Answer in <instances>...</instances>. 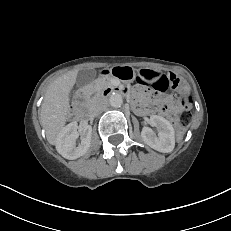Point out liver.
Segmentation results:
<instances>
[{
    "instance_id": "liver-1",
    "label": "liver",
    "mask_w": 231,
    "mask_h": 231,
    "mask_svg": "<svg viewBox=\"0 0 231 231\" xmlns=\"http://www.w3.org/2000/svg\"><path fill=\"white\" fill-rule=\"evenodd\" d=\"M78 71L72 70L58 77L46 90L40 107V123L47 141L56 145L58 134L64 128L70 112V91Z\"/></svg>"
}]
</instances>
